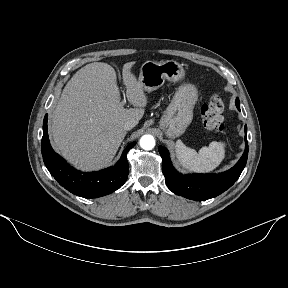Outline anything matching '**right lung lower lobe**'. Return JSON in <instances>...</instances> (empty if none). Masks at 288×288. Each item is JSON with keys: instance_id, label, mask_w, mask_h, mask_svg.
Returning a JSON list of instances; mask_svg holds the SVG:
<instances>
[{"instance_id": "1", "label": "right lung lower lobe", "mask_w": 288, "mask_h": 288, "mask_svg": "<svg viewBox=\"0 0 288 288\" xmlns=\"http://www.w3.org/2000/svg\"><path fill=\"white\" fill-rule=\"evenodd\" d=\"M47 119L45 115L41 142L43 161L50 174L62 187L80 197L97 198L114 192L125 183L129 174L126 155L136 142L125 148L115 166L97 172H81L68 165L52 149L48 138Z\"/></svg>"}]
</instances>
